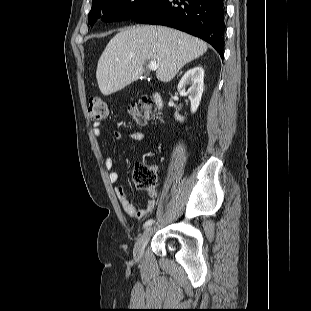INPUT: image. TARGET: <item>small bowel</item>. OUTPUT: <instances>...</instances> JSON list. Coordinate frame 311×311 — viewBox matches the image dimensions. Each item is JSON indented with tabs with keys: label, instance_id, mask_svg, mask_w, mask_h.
Instances as JSON below:
<instances>
[{
	"label": "small bowel",
	"instance_id": "obj_1",
	"mask_svg": "<svg viewBox=\"0 0 311 311\" xmlns=\"http://www.w3.org/2000/svg\"><path fill=\"white\" fill-rule=\"evenodd\" d=\"M92 133L95 137L102 136L101 124L99 122H94L92 124ZM113 135L116 140H122L124 138V134L121 131H114ZM128 137L135 142H141L145 139V134L140 131H133L128 134ZM104 167L108 171L109 181L111 183H116L118 181L119 175L115 170H113L114 161L112 157H106L104 161ZM115 193L122 209L131 218L137 220L144 219L153 211L155 207V200L151 198L147 201L146 205L143 208L138 209L129 201L125 189L122 185H117L115 187Z\"/></svg>",
	"mask_w": 311,
	"mask_h": 311
}]
</instances>
